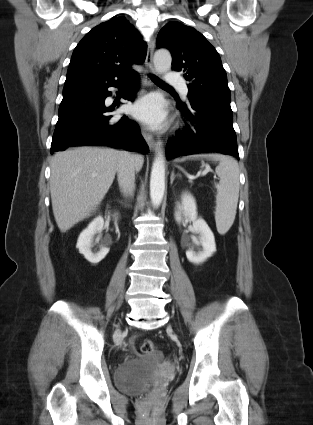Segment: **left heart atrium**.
Segmentation results:
<instances>
[{
    "mask_svg": "<svg viewBox=\"0 0 313 425\" xmlns=\"http://www.w3.org/2000/svg\"><path fill=\"white\" fill-rule=\"evenodd\" d=\"M132 114L152 126L159 125L165 117L161 101L154 95H149L139 100L132 107Z\"/></svg>",
    "mask_w": 313,
    "mask_h": 425,
    "instance_id": "1",
    "label": "left heart atrium"
}]
</instances>
